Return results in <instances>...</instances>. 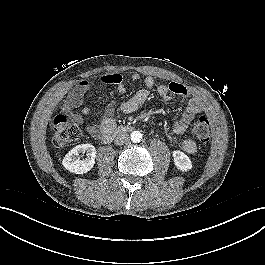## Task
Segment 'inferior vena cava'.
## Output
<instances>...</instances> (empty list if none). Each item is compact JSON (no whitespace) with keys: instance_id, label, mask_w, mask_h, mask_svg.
I'll use <instances>...</instances> for the list:
<instances>
[{"instance_id":"inferior-vena-cava-1","label":"inferior vena cava","mask_w":265,"mask_h":265,"mask_svg":"<svg viewBox=\"0 0 265 265\" xmlns=\"http://www.w3.org/2000/svg\"><path fill=\"white\" fill-rule=\"evenodd\" d=\"M128 141H129V135L126 132H121L116 135L114 143L116 145H123Z\"/></svg>"}]
</instances>
